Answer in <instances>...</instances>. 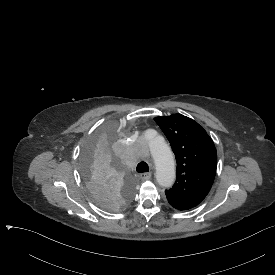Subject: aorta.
I'll return each instance as SVG.
<instances>
[{"instance_id":"aorta-1","label":"aorta","mask_w":275,"mask_h":275,"mask_svg":"<svg viewBox=\"0 0 275 275\" xmlns=\"http://www.w3.org/2000/svg\"><path fill=\"white\" fill-rule=\"evenodd\" d=\"M164 142V134L158 128H149L143 134L146 155L150 164L156 168V181L160 187L170 189L176 180L175 160Z\"/></svg>"}]
</instances>
